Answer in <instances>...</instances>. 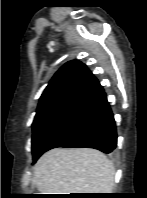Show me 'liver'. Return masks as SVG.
<instances>
[{"instance_id":"obj_1","label":"liver","mask_w":147,"mask_h":198,"mask_svg":"<svg viewBox=\"0 0 147 198\" xmlns=\"http://www.w3.org/2000/svg\"><path fill=\"white\" fill-rule=\"evenodd\" d=\"M115 170L102 152L91 148H55L44 153L33 171L41 194L111 193Z\"/></svg>"}]
</instances>
